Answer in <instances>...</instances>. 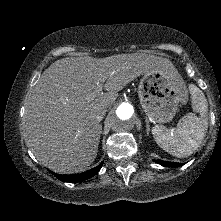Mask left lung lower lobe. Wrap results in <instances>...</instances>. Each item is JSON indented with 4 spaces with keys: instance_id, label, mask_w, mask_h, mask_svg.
<instances>
[{
    "instance_id": "0a47b994",
    "label": "left lung lower lobe",
    "mask_w": 221,
    "mask_h": 221,
    "mask_svg": "<svg viewBox=\"0 0 221 221\" xmlns=\"http://www.w3.org/2000/svg\"><path fill=\"white\" fill-rule=\"evenodd\" d=\"M154 162L165 167H179L183 165V163H174V162H167V161H162V160H154Z\"/></svg>"
}]
</instances>
